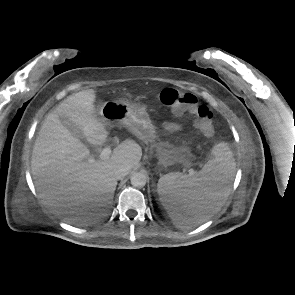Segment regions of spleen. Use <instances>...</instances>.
Wrapping results in <instances>:
<instances>
[{"label": "spleen", "instance_id": "3e777b00", "mask_svg": "<svg viewBox=\"0 0 295 295\" xmlns=\"http://www.w3.org/2000/svg\"><path fill=\"white\" fill-rule=\"evenodd\" d=\"M212 159L195 175L169 173L162 176L157 192L174 223L182 228L207 217L228 197L235 175V160L227 143L216 144Z\"/></svg>", "mask_w": 295, "mask_h": 295}]
</instances>
